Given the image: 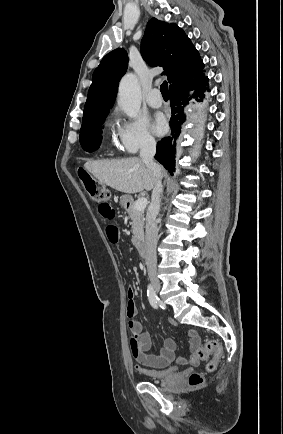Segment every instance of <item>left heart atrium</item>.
Segmentation results:
<instances>
[{
	"label": "left heart atrium",
	"instance_id": "1",
	"mask_svg": "<svg viewBox=\"0 0 283 434\" xmlns=\"http://www.w3.org/2000/svg\"><path fill=\"white\" fill-rule=\"evenodd\" d=\"M152 127H153V131L156 134H158V135L163 134L167 128V124H166V120H165L164 116L161 114H157L154 118Z\"/></svg>",
	"mask_w": 283,
	"mask_h": 434
}]
</instances>
